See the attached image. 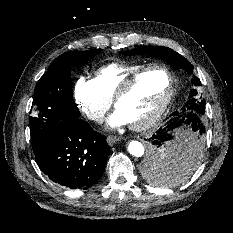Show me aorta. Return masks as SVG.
I'll list each match as a JSON object with an SVG mask.
<instances>
[{
  "label": "aorta",
  "mask_w": 233,
  "mask_h": 233,
  "mask_svg": "<svg viewBox=\"0 0 233 233\" xmlns=\"http://www.w3.org/2000/svg\"><path fill=\"white\" fill-rule=\"evenodd\" d=\"M128 151L135 157H141L145 152V148L139 141L132 140L129 142Z\"/></svg>",
  "instance_id": "1"
}]
</instances>
